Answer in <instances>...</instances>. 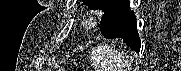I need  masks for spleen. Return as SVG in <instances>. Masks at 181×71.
Masks as SVG:
<instances>
[{
  "label": "spleen",
  "instance_id": "3e777b00",
  "mask_svg": "<svg viewBox=\"0 0 181 71\" xmlns=\"http://www.w3.org/2000/svg\"><path fill=\"white\" fill-rule=\"evenodd\" d=\"M92 65L97 71H131V62L108 45H98L92 50Z\"/></svg>",
  "mask_w": 181,
  "mask_h": 71
}]
</instances>
